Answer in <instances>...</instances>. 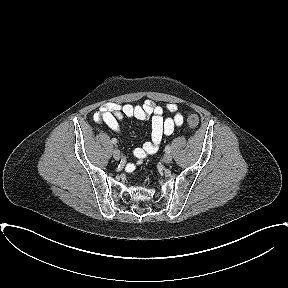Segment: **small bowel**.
<instances>
[{"mask_svg":"<svg viewBox=\"0 0 288 288\" xmlns=\"http://www.w3.org/2000/svg\"><path fill=\"white\" fill-rule=\"evenodd\" d=\"M165 109L173 116L164 117V108L150 100L142 105H122L110 102L100 106L93 118L95 122L104 123L115 131L119 130L120 122L124 118L150 119L151 139L133 150L135 158L143 160L160 149L164 136L172 134L175 128L183 124V116L178 112L176 104L167 103Z\"/></svg>","mask_w":288,"mask_h":288,"instance_id":"small-bowel-1","label":"small bowel"}]
</instances>
